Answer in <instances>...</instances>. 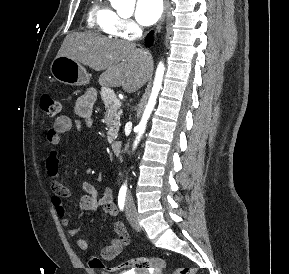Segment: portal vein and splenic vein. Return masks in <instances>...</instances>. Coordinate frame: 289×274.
<instances>
[{
    "label": "portal vein and splenic vein",
    "instance_id": "1",
    "mask_svg": "<svg viewBox=\"0 0 289 274\" xmlns=\"http://www.w3.org/2000/svg\"><path fill=\"white\" fill-rule=\"evenodd\" d=\"M115 103H116L117 105H120V104H121V103H120V100H118V99L115 101Z\"/></svg>",
    "mask_w": 289,
    "mask_h": 274
}]
</instances>
